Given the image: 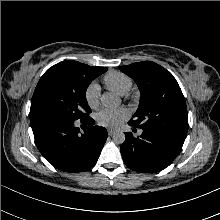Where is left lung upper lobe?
<instances>
[{
  "instance_id": "left-lung-upper-lobe-1",
  "label": "left lung upper lobe",
  "mask_w": 220,
  "mask_h": 220,
  "mask_svg": "<svg viewBox=\"0 0 220 220\" xmlns=\"http://www.w3.org/2000/svg\"><path fill=\"white\" fill-rule=\"evenodd\" d=\"M138 85L139 107L129 124L167 133L182 141L188 130V114L182 91L173 75L162 66L143 61L119 68Z\"/></svg>"
}]
</instances>
